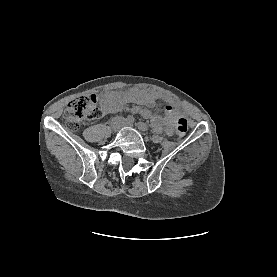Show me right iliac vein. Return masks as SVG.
<instances>
[{"instance_id":"right-iliac-vein-1","label":"right iliac vein","mask_w":277,"mask_h":277,"mask_svg":"<svg viewBox=\"0 0 277 277\" xmlns=\"http://www.w3.org/2000/svg\"><path fill=\"white\" fill-rule=\"evenodd\" d=\"M118 127H119L118 124H116V125H115V128L117 129Z\"/></svg>"}]
</instances>
